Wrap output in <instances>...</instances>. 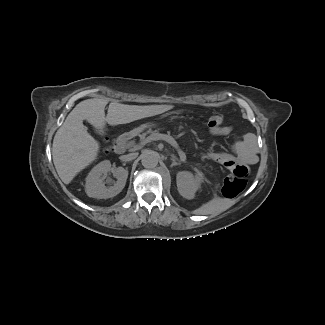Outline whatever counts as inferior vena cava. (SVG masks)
<instances>
[{
  "label": "inferior vena cava",
  "instance_id": "inferior-vena-cava-1",
  "mask_svg": "<svg viewBox=\"0 0 325 325\" xmlns=\"http://www.w3.org/2000/svg\"><path fill=\"white\" fill-rule=\"evenodd\" d=\"M137 157V154L136 153H130V154H127V155H122L121 157H120V159L122 160V161H132V160H134L135 158Z\"/></svg>",
  "mask_w": 325,
  "mask_h": 325
}]
</instances>
